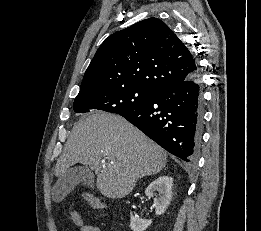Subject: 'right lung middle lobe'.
I'll list each match as a JSON object with an SVG mask.
<instances>
[{"label":"right lung middle lobe","mask_w":261,"mask_h":231,"mask_svg":"<svg viewBox=\"0 0 261 231\" xmlns=\"http://www.w3.org/2000/svg\"><path fill=\"white\" fill-rule=\"evenodd\" d=\"M153 96L154 93L149 90L126 86L78 95L73 109L77 113L103 110L121 115L144 106Z\"/></svg>","instance_id":"right-lung-middle-lobe-1"}]
</instances>
